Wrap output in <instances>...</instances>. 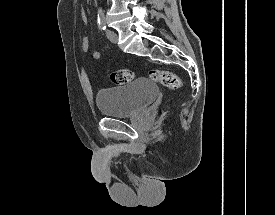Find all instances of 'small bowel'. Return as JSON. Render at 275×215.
<instances>
[{"instance_id":"c3829d8e","label":"small bowel","mask_w":275,"mask_h":215,"mask_svg":"<svg viewBox=\"0 0 275 215\" xmlns=\"http://www.w3.org/2000/svg\"><path fill=\"white\" fill-rule=\"evenodd\" d=\"M82 21L84 25H87V17L85 15V12H82ZM81 49L85 53L90 52V43L87 36H83L81 40ZM101 54L98 50L93 51L91 54H89V58L92 60H98L100 58Z\"/></svg>"}]
</instances>
